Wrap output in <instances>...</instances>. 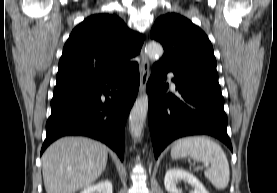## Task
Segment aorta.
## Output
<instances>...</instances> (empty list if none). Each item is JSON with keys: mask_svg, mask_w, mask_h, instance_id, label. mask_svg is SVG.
Returning <instances> with one entry per match:
<instances>
[{"mask_svg": "<svg viewBox=\"0 0 277 193\" xmlns=\"http://www.w3.org/2000/svg\"><path fill=\"white\" fill-rule=\"evenodd\" d=\"M145 52L152 60H158L163 55V47L156 42H150L146 48ZM148 95L144 94L139 97L133 105L129 116V128L132 136L135 139H140L142 130L146 121L148 112Z\"/></svg>", "mask_w": 277, "mask_h": 193, "instance_id": "obj_1", "label": "aorta"}]
</instances>
